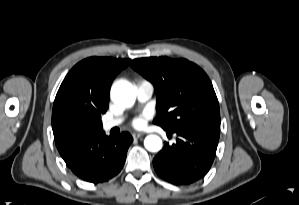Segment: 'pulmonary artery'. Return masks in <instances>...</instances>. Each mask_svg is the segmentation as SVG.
Wrapping results in <instances>:
<instances>
[{"mask_svg":"<svg viewBox=\"0 0 299 205\" xmlns=\"http://www.w3.org/2000/svg\"><path fill=\"white\" fill-rule=\"evenodd\" d=\"M154 93L153 84L147 80H139L136 83V95L140 102L148 101ZM123 121L122 117L107 119L103 122V129L106 131L119 126Z\"/></svg>","mask_w":299,"mask_h":205,"instance_id":"e3ab8cb5","label":"pulmonary artery"}]
</instances>
